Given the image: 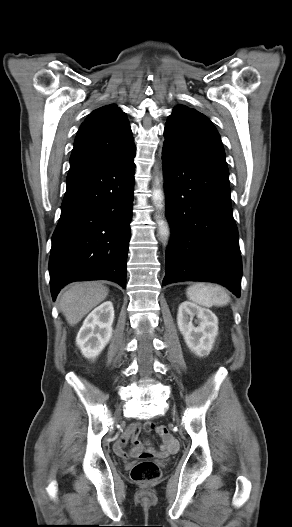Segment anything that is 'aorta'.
Segmentation results:
<instances>
[{
  "mask_svg": "<svg viewBox=\"0 0 292 527\" xmlns=\"http://www.w3.org/2000/svg\"><path fill=\"white\" fill-rule=\"evenodd\" d=\"M161 233H162L163 235H166V234H167V229H165V228L163 227V228L161 229Z\"/></svg>",
  "mask_w": 292,
  "mask_h": 527,
  "instance_id": "762f6f07",
  "label": "aorta"
}]
</instances>
